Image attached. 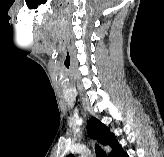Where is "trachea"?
<instances>
[{
	"label": "trachea",
	"instance_id": "trachea-1",
	"mask_svg": "<svg viewBox=\"0 0 164 157\" xmlns=\"http://www.w3.org/2000/svg\"><path fill=\"white\" fill-rule=\"evenodd\" d=\"M95 153L97 157H107L106 153L98 146H95Z\"/></svg>",
	"mask_w": 164,
	"mask_h": 157
}]
</instances>
